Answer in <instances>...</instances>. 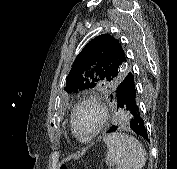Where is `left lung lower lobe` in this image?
<instances>
[{
    "instance_id": "obj_1",
    "label": "left lung lower lobe",
    "mask_w": 177,
    "mask_h": 169,
    "mask_svg": "<svg viewBox=\"0 0 177 169\" xmlns=\"http://www.w3.org/2000/svg\"><path fill=\"white\" fill-rule=\"evenodd\" d=\"M114 94L117 101V109L118 107L124 108L125 111H129L133 115V118L130 121V128L135 133L148 140L144 120L141 117V113L137 105L135 82L131 72L127 73L124 79L120 82L114 91ZM116 130L117 126H112L107 132L110 133Z\"/></svg>"
}]
</instances>
